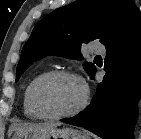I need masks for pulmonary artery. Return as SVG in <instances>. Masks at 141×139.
Wrapping results in <instances>:
<instances>
[{
	"label": "pulmonary artery",
	"mask_w": 141,
	"mask_h": 139,
	"mask_svg": "<svg viewBox=\"0 0 141 139\" xmlns=\"http://www.w3.org/2000/svg\"><path fill=\"white\" fill-rule=\"evenodd\" d=\"M90 50L94 53H104L105 52L104 46H102L100 44L91 45Z\"/></svg>",
	"instance_id": "pulmonary-artery-1"
}]
</instances>
